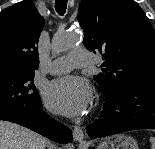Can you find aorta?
Listing matches in <instances>:
<instances>
[{
    "label": "aorta",
    "instance_id": "1",
    "mask_svg": "<svg viewBox=\"0 0 155 149\" xmlns=\"http://www.w3.org/2000/svg\"><path fill=\"white\" fill-rule=\"evenodd\" d=\"M83 39L82 32L68 33L63 29H59L53 38V50L61 52L74 47Z\"/></svg>",
    "mask_w": 155,
    "mask_h": 149
}]
</instances>
